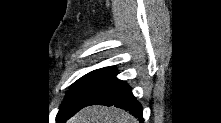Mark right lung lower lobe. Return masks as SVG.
I'll list each match as a JSON object with an SVG mask.
<instances>
[{
	"mask_svg": "<svg viewBox=\"0 0 221 123\" xmlns=\"http://www.w3.org/2000/svg\"><path fill=\"white\" fill-rule=\"evenodd\" d=\"M116 73L100 84L94 91L90 101L86 106L99 104L106 106H115L134 113L140 121L142 118V107L136 101L131 92V88L121 80H118ZM70 116H64L58 113L60 121H66Z\"/></svg>",
	"mask_w": 221,
	"mask_h": 123,
	"instance_id": "1",
	"label": "right lung lower lobe"
}]
</instances>
